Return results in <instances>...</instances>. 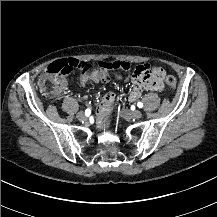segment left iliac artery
I'll return each mask as SVG.
<instances>
[{"label": "left iliac artery", "instance_id": "44dca946", "mask_svg": "<svg viewBox=\"0 0 217 217\" xmlns=\"http://www.w3.org/2000/svg\"><path fill=\"white\" fill-rule=\"evenodd\" d=\"M137 106H138L139 108H142V107H143V103H142V102H138V103H137Z\"/></svg>", "mask_w": 217, "mask_h": 217}]
</instances>
